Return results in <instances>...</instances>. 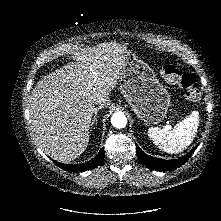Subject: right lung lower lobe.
<instances>
[{
  "label": "right lung lower lobe",
  "mask_w": 221,
  "mask_h": 221,
  "mask_svg": "<svg viewBox=\"0 0 221 221\" xmlns=\"http://www.w3.org/2000/svg\"><path fill=\"white\" fill-rule=\"evenodd\" d=\"M104 159V149H101L100 152L89 162L82 163V164H77V165H66V164H61L57 163L58 166L66 171L70 172H83L90 170L92 168H95L99 166Z\"/></svg>",
  "instance_id": "98d812e1"
}]
</instances>
